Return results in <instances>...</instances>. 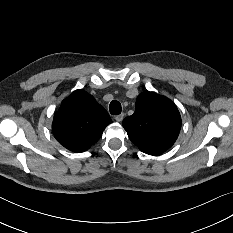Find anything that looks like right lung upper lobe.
<instances>
[{"mask_svg":"<svg viewBox=\"0 0 233 233\" xmlns=\"http://www.w3.org/2000/svg\"><path fill=\"white\" fill-rule=\"evenodd\" d=\"M112 122L107 111L84 90L64 99L54 115L52 130L57 141L73 152L88 150Z\"/></svg>","mask_w":233,"mask_h":233,"instance_id":"1","label":"right lung upper lobe"}]
</instances>
